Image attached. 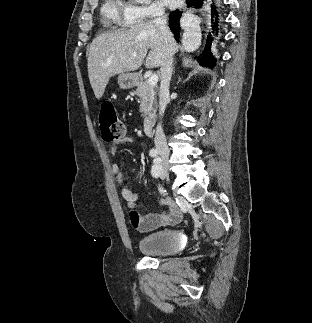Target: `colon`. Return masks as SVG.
<instances>
[{
    "label": "colon",
    "instance_id": "1",
    "mask_svg": "<svg viewBox=\"0 0 312 323\" xmlns=\"http://www.w3.org/2000/svg\"><path fill=\"white\" fill-rule=\"evenodd\" d=\"M99 127L102 137L107 141L117 140L125 135L124 123L117 116L114 106L110 101L103 102L101 106Z\"/></svg>",
    "mask_w": 312,
    "mask_h": 323
}]
</instances>
